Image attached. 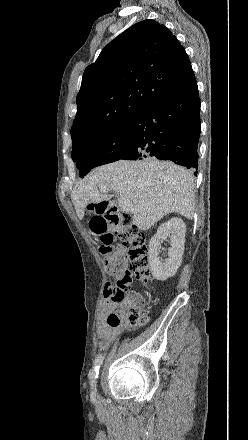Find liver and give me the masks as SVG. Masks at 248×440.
<instances>
[{"instance_id": "6515ba94", "label": "liver", "mask_w": 248, "mask_h": 440, "mask_svg": "<svg viewBox=\"0 0 248 440\" xmlns=\"http://www.w3.org/2000/svg\"><path fill=\"white\" fill-rule=\"evenodd\" d=\"M194 187L193 174L172 162L120 160L93 169L74 186L71 199L82 220L88 204L109 200L108 192H116L132 203L133 223L145 231L169 213L192 219Z\"/></svg>"}]
</instances>
